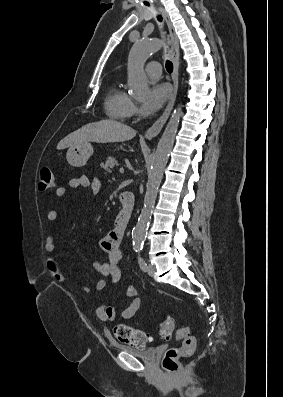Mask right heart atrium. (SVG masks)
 Returning a JSON list of instances; mask_svg holds the SVG:
<instances>
[{
  "instance_id": "1",
  "label": "right heart atrium",
  "mask_w": 283,
  "mask_h": 397,
  "mask_svg": "<svg viewBox=\"0 0 283 397\" xmlns=\"http://www.w3.org/2000/svg\"><path fill=\"white\" fill-rule=\"evenodd\" d=\"M139 109L137 105L131 100L127 108V117H134L138 115Z\"/></svg>"
}]
</instances>
